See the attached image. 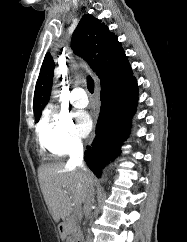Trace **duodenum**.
I'll return each instance as SVG.
<instances>
[{
    "mask_svg": "<svg viewBox=\"0 0 187 242\" xmlns=\"http://www.w3.org/2000/svg\"><path fill=\"white\" fill-rule=\"evenodd\" d=\"M58 231H59V234L60 236H65L66 235V231H67V224L65 222H61L59 225H58Z\"/></svg>",
    "mask_w": 187,
    "mask_h": 242,
    "instance_id": "obj_1",
    "label": "duodenum"
}]
</instances>
